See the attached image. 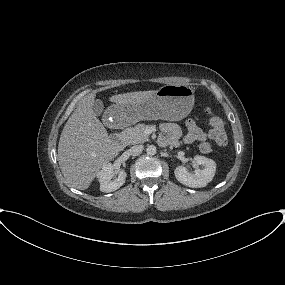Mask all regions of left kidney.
<instances>
[{"instance_id":"left-kidney-1","label":"left kidney","mask_w":285,"mask_h":285,"mask_svg":"<svg viewBox=\"0 0 285 285\" xmlns=\"http://www.w3.org/2000/svg\"><path fill=\"white\" fill-rule=\"evenodd\" d=\"M194 162L198 165H203V169H196L194 174L188 172L184 166L176 167L174 173L176 179L191 188L205 187L212 181L216 172V163L205 156L196 155Z\"/></svg>"}]
</instances>
